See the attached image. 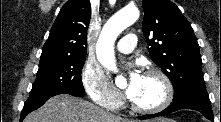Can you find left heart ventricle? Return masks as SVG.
<instances>
[{"label":"left heart ventricle","instance_id":"1","mask_svg":"<svg viewBox=\"0 0 221 122\" xmlns=\"http://www.w3.org/2000/svg\"><path fill=\"white\" fill-rule=\"evenodd\" d=\"M163 95L164 89L158 78L142 76L139 88L131 100L139 106L151 107L158 104Z\"/></svg>","mask_w":221,"mask_h":122}]
</instances>
